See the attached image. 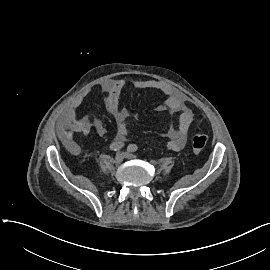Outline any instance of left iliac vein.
<instances>
[{"label": "left iliac vein", "instance_id": "1", "mask_svg": "<svg viewBox=\"0 0 270 270\" xmlns=\"http://www.w3.org/2000/svg\"><path fill=\"white\" fill-rule=\"evenodd\" d=\"M124 157L127 158V159H133L135 158V156L129 152H125L124 153Z\"/></svg>", "mask_w": 270, "mask_h": 270}]
</instances>
